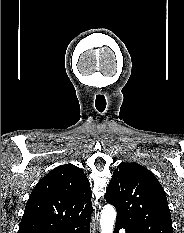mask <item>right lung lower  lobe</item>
<instances>
[{
	"instance_id": "98d812e1",
	"label": "right lung lower lobe",
	"mask_w": 184,
	"mask_h": 233,
	"mask_svg": "<svg viewBox=\"0 0 184 233\" xmlns=\"http://www.w3.org/2000/svg\"><path fill=\"white\" fill-rule=\"evenodd\" d=\"M89 230L90 218H87L79 223H75L57 230H51L46 233H89Z\"/></svg>"
}]
</instances>
